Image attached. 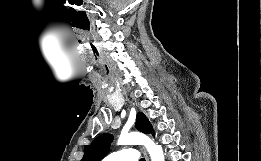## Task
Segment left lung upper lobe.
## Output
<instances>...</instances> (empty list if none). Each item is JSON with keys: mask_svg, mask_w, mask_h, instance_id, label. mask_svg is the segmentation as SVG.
Wrapping results in <instances>:
<instances>
[{"mask_svg": "<svg viewBox=\"0 0 261 161\" xmlns=\"http://www.w3.org/2000/svg\"><path fill=\"white\" fill-rule=\"evenodd\" d=\"M136 127L146 134H153V129L146 116L139 112L136 117ZM113 140L111 134L98 136L90 145H85L84 156L81 161H100L109 150V145Z\"/></svg>", "mask_w": 261, "mask_h": 161, "instance_id": "5c2ea615", "label": "left lung upper lobe"}]
</instances>
